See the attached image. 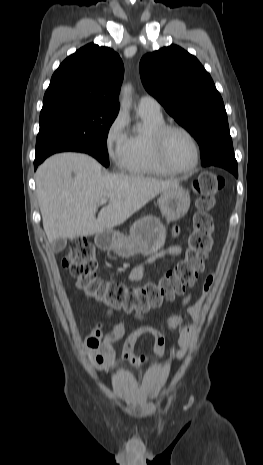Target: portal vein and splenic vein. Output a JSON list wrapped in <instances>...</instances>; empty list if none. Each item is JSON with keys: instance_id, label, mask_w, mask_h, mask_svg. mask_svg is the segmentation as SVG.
<instances>
[{"instance_id": "portal-vein-and-splenic-vein-1", "label": "portal vein and splenic vein", "mask_w": 263, "mask_h": 465, "mask_svg": "<svg viewBox=\"0 0 263 465\" xmlns=\"http://www.w3.org/2000/svg\"><path fill=\"white\" fill-rule=\"evenodd\" d=\"M106 202H107V199H102V200L99 202V204H98V205H103V204H106Z\"/></svg>"}]
</instances>
